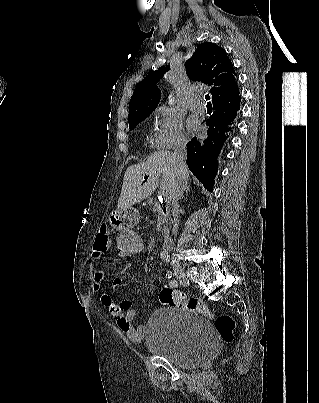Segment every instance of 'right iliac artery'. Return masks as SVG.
Listing matches in <instances>:
<instances>
[{
    "label": "right iliac artery",
    "mask_w": 319,
    "mask_h": 403,
    "mask_svg": "<svg viewBox=\"0 0 319 403\" xmlns=\"http://www.w3.org/2000/svg\"><path fill=\"white\" fill-rule=\"evenodd\" d=\"M172 275H173L172 271H168V272L166 273V277H167L168 279H170V278L172 277ZM173 285H174V286H177V282L174 281V282H173Z\"/></svg>",
    "instance_id": "right-iliac-artery-1"
}]
</instances>
